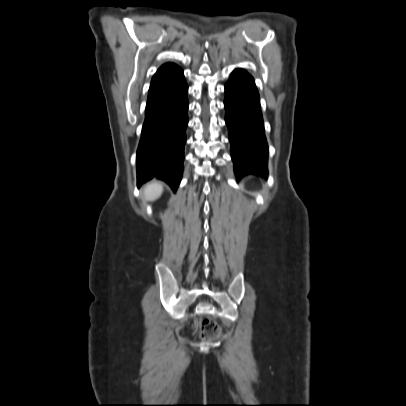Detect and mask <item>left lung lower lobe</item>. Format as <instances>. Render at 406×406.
<instances>
[{"mask_svg": "<svg viewBox=\"0 0 406 406\" xmlns=\"http://www.w3.org/2000/svg\"><path fill=\"white\" fill-rule=\"evenodd\" d=\"M225 121L237 178L250 173L265 176L268 146L259 94L251 75L236 69L225 85Z\"/></svg>", "mask_w": 406, "mask_h": 406, "instance_id": "1", "label": "left lung lower lobe"}]
</instances>
